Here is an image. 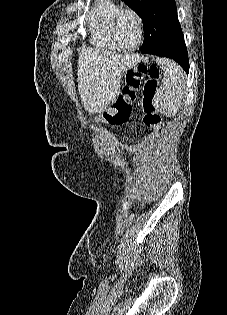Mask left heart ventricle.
<instances>
[{
	"mask_svg": "<svg viewBox=\"0 0 227 315\" xmlns=\"http://www.w3.org/2000/svg\"><path fill=\"white\" fill-rule=\"evenodd\" d=\"M115 32L119 42L123 46L131 47L138 41V24L131 14H124L121 17Z\"/></svg>",
	"mask_w": 227,
	"mask_h": 315,
	"instance_id": "1",
	"label": "left heart ventricle"
}]
</instances>
